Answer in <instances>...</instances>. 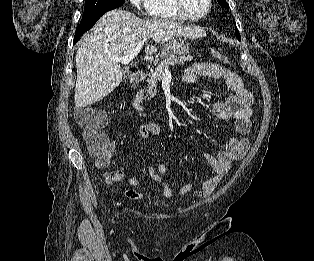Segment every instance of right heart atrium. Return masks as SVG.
<instances>
[{
	"label": "right heart atrium",
	"instance_id": "obj_1",
	"mask_svg": "<svg viewBox=\"0 0 314 261\" xmlns=\"http://www.w3.org/2000/svg\"><path fill=\"white\" fill-rule=\"evenodd\" d=\"M131 4L137 11L147 10L149 0H130Z\"/></svg>",
	"mask_w": 314,
	"mask_h": 261
}]
</instances>
